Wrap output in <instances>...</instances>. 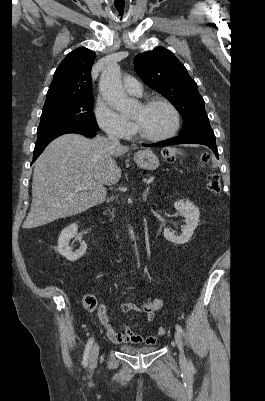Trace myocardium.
Returning a JSON list of instances; mask_svg holds the SVG:
<instances>
[{
    "label": "myocardium",
    "instance_id": "1",
    "mask_svg": "<svg viewBox=\"0 0 265 401\" xmlns=\"http://www.w3.org/2000/svg\"><path fill=\"white\" fill-rule=\"evenodd\" d=\"M155 104L164 105L172 112L173 117H174V125L169 131H167L166 133H163L161 135H157V136L144 135V134L139 133L137 125L133 122L135 132L139 135V137L144 140L153 141V142L161 141V140L167 139V138L175 135L178 132V130L180 128V123H181L180 113H179L178 109L169 101H167L165 99H161V98H153V99H148V100L142 102V105L144 107H150Z\"/></svg>",
    "mask_w": 265,
    "mask_h": 401
}]
</instances>
